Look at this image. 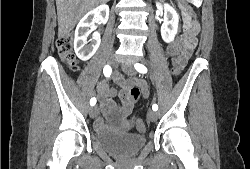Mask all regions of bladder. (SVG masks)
Returning a JSON list of instances; mask_svg holds the SVG:
<instances>
[{
  "instance_id": "31cf9c89",
  "label": "bladder",
  "mask_w": 250,
  "mask_h": 169,
  "mask_svg": "<svg viewBox=\"0 0 250 169\" xmlns=\"http://www.w3.org/2000/svg\"><path fill=\"white\" fill-rule=\"evenodd\" d=\"M92 139L95 145L103 148L106 152L113 153L118 158H125L136 155L145 146L147 135L95 131Z\"/></svg>"
}]
</instances>
